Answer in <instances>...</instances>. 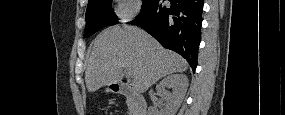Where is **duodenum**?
I'll use <instances>...</instances> for the list:
<instances>
[{"instance_id":"obj_1","label":"duodenum","mask_w":285,"mask_h":115,"mask_svg":"<svg viewBox=\"0 0 285 115\" xmlns=\"http://www.w3.org/2000/svg\"><path fill=\"white\" fill-rule=\"evenodd\" d=\"M113 93L119 94L123 97L129 98L132 104L133 115H146L147 105L143 96L137 91L133 90L126 83H114L111 86Z\"/></svg>"}]
</instances>
